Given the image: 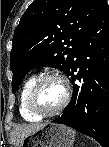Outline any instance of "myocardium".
Here are the masks:
<instances>
[{"label": "myocardium", "mask_w": 109, "mask_h": 147, "mask_svg": "<svg viewBox=\"0 0 109 147\" xmlns=\"http://www.w3.org/2000/svg\"><path fill=\"white\" fill-rule=\"evenodd\" d=\"M51 79L58 80L62 83V85L64 86V91H65L64 98H63L62 102L60 103V105L57 106L55 109L50 110V111H42L35 106V103H34L35 96H36L39 88L41 87V85L45 81L51 80ZM70 95H71V88H70V84H69L68 79L61 73H49V74H45V75L37 78V80L35 81V83L31 87V89L27 95L26 106H27L28 111L37 117H40V118L51 117V116L58 115L67 107V105L70 101Z\"/></svg>", "instance_id": "f54148a6"}]
</instances>
